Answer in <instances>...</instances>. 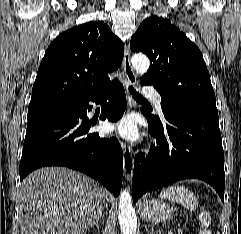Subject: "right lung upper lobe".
Returning <instances> with one entry per match:
<instances>
[{"instance_id": "1", "label": "right lung upper lobe", "mask_w": 241, "mask_h": 234, "mask_svg": "<svg viewBox=\"0 0 241 234\" xmlns=\"http://www.w3.org/2000/svg\"><path fill=\"white\" fill-rule=\"evenodd\" d=\"M124 45L102 21L62 32L48 47L37 72L29 105L75 104L107 87V74L118 69Z\"/></svg>"}]
</instances>
